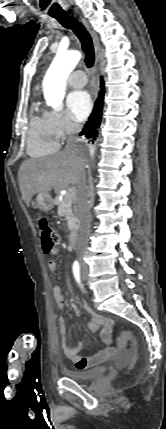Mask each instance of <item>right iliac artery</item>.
<instances>
[{
    "mask_svg": "<svg viewBox=\"0 0 166 429\" xmlns=\"http://www.w3.org/2000/svg\"><path fill=\"white\" fill-rule=\"evenodd\" d=\"M72 269H73V274H74L76 281L82 287V284L80 281V265H79L78 261H74Z\"/></svg>",
    "mask_w": 166,
    "mask_h": 429,
    "instance_id": "1",
    "label": "right iliac artery"
}]
</instances>
